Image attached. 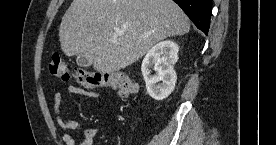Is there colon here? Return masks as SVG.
<instances>
[{
	"mask_svg": "<svg viewBox=\"0 0 276 145\" xmlns=\"http://www.w3.org/2000/svg\"><path fill=\"white\" fill-rule=\"evenodd\" d=\"M47 70L51 76L63 81L74 79L78 84L86 88H111L120 96H129L137 90L135 83L124 72H101L83 68L70 70L61 56L57 54L50 57L47 63Z\"/></svg>",
	"mask_w": 276,
	"mask_h": 145,
	"instance_id": "colon-1",
	"label": "colon"
}]
</instances>
